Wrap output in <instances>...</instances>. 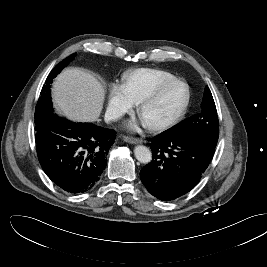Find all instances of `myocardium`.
<instances>
[{
	"label": "myocardium",
	"mask_w": 267,
	"mask_h": 267,
	"mask_svg": "<svg viewBox=\"0 0 267 267\" xmlns=\"http://www.w3.org/2000/svg\"><path fill=\"white\" fill-rule=\"evenodd\" d=\"M175 85H183L186 89V98L182 105V107L179 109V111L174 114L172 117L156 122V123H145L144 125L147 129L151 131H163L168 128L173 127L177 123H179L185 114L187 113L190 103H191V89L190 86L183 80L175 79L169 82H166L159 87H157L155 90H153L151 93L144 96L137 104V113L141 117L142 111L145 107L155 102L166 90L169 88L175 86Z\"/></svg>",
	"instance_id": "myocardium-1"
}]
</instances>
